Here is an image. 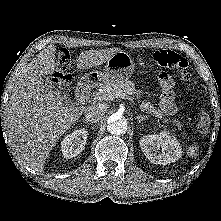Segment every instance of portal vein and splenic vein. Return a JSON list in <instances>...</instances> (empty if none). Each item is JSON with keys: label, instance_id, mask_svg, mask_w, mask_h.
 I'll return each instance as SVG.
<instances>
[{"label": "portal vein and splenic vein", "instance_id": "1", "mask_svg": "<svg viewBox=\"0 0 221 221\" xmlns=\"http://www.w3.org/2000/svg\"><path fill=\"white\" fill-rule=\"evenodd\" d=\"M116 97H120V98L125 99L127 97V95L125 93L118 92V93H116Z\"/></svg>", "mask_w": 221, "mask_h": 221}]
</instances>
